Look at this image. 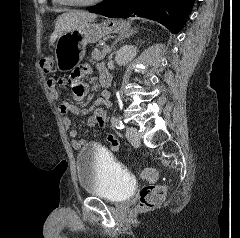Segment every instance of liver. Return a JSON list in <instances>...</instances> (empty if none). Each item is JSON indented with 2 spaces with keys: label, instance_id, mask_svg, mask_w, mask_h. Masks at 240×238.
Here are the masks:
<instances>
[{
  "label": "liver",
  "instance_id": "liver-1",
  "mask_svg": "<svg viewBox=\"0 0 240 238\" xmlns=\"http://www.w3.org/2000/svg\"><path fill=\"white\" fill-rule=\"evenodd\" d=\"M96 18V14L83 11H72L60 15L55 24V30L50 37V44L52 45L60 34L76 30L84 24L94 21Z\"/></svg>",
  "mask_w": 240,
  "mask_h": 238
}]
</instances>
